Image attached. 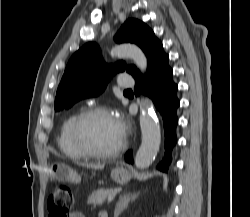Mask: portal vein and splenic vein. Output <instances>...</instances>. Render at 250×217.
Returning <instances> with one entry per match:
<instances>
[{"label":"portal vein and splenic vein","instance_id":"obj_1","mask_svg":"<svg viewBox=\"0 0 250 217\" xmlns=\"http://www.w3.org/2000/svg\"><path fill=\"white\" fill-rule=\"evenodd\" d=\"M114 197H115V195H110V196H108L107 201H108V202H112V201L114 200Z\"/></svg>","mask_w":250,"mask_h":217}]
</instances>
